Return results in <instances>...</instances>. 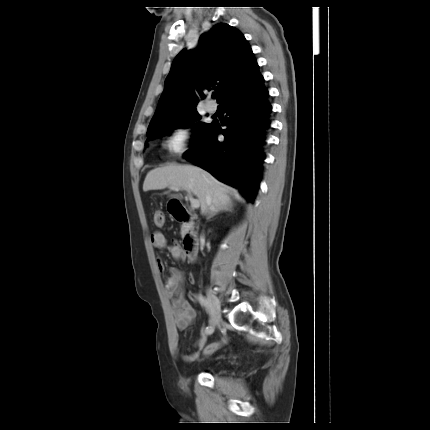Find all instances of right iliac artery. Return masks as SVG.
<instances>
[{
	"label": "right iliac artery",
	"instance_id": "1",
	"mask_svg": "<svg viewBox=\"0 0 430 430\" xmlns=\"http://www.w3.org/2000/svg\"><path fill=\"white\" fill-rule=\"evenodd\" d=\"M197 300H198V302H199L203 307H205L207 310H209V302H208V300H207L204 296H202V295H198V296H197ZM213 331H214V327H213L212 325H209V326L206 328V332H207V334H212V333H213Z\"/></svg>",
	"mask_w": 430,
	"mask_h": 430
}]
</instances>
